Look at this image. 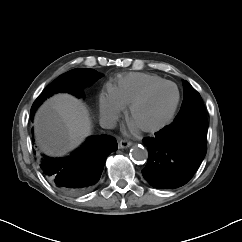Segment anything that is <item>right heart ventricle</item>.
<instances>
[{"label":"right heart ventricle","instance_id":"1","mask_svg":"<svg viewBox=\"0 0 242 242\" xmlns=\"http://www.w3.org/2000/svg\"><path fill=\"white\" fill-rule=\"evenodd\" d=\"M162 81L165 80L155 74L128 73L118 77L110 89L123 106H129L147 88Z\"/></svg>","mask_w":242,"mask_h":242}]
</instances>
